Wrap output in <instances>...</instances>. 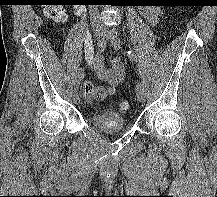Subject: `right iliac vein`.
I'll use <instances>...</instances> for the list:
<instances>
[{
  "mask_svg": "<svg viewBox=\"0 0 217 197\" xmlns=\"http://www.w3.org/2000/svg\"><path fill=\"white\" fill-rule=\"evenodd\" d=\"M93 33H94L95 36L98 37L101 34V29L98 28V27H94L93 28ZM73 100H74L75 104H78L80 102V96H79V94L77 92L74 93Z\"/></svg>",
  "mask_w": 217,
  "mask_h": 197,
  "instance_id": "1",
  "label": "right iliac vein"
}]
</instances>
